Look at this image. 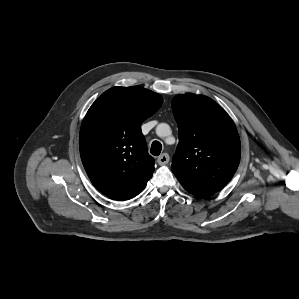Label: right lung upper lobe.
Masks as SVG:
<instances>
[{
    "mask_svg": "<svg viewBox=\"0 0 299 299\" xmlns=\"http://www.w3.org/2000/svg\"><path fill=\"white\" fill-rule=\"evenodd\" d=\"M162 97L139 86L112 87L86 113L79 138L83 166L94 187L110 198L138 195L152 177L141 123L162 105Z\"/></svg>",
    "mask_w": 299,
    "mask_h": 299,
    "instance_id": "right-lung-upper-lobe-1",
    "label": "right lung upper lobe"
}]
</instances>
